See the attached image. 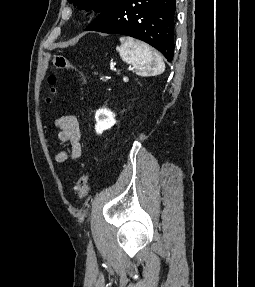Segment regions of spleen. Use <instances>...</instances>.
<instances>
[{"label":"spleen","instance_id":"1","mask_svg":"<svg viewBox=\"0 0 255 287\" xmlns=\"http://www.w3.org/2000/svg\"><path fill=\"white\" fill-rule=\"evenodd\" d=\"M122 46L118 48L123 62L135 66L137 72H148V76H157L165 70V64L158 52L134 38H120Z\"/></svg>","mask_w":255,"mask_h":287}]
</instances>
